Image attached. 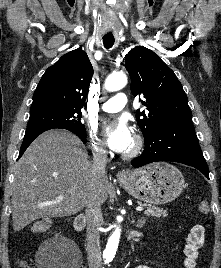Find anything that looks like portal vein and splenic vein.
Instances as JSON below:
<instances>
[{"instance_id":"1","label":"portal vein and splenic vein","mask_w":221,"mask_h":268,"mask_svg":"<svg viewBox=\"0 0 221 268\" xmlns=\"http://www.w3.org/2000/svg\"><path fill=\"white\" fill-rule=\"evenodd\" d=\"M58 199H59V200H62L63 197H58ZM136 210H137V211H143L144 208H143L142 206H138V207H136Z\"/></svg>"}]
</instances>
